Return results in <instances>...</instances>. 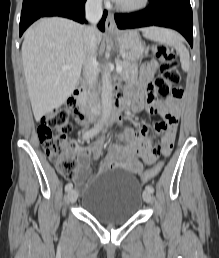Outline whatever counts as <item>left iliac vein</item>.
<instances>
[{
    "label": "left iliac vein",
    "instance_id": "obj_1",
    "mask_svg": "<svg viewBox=\"0 0 219 258\" xmlns=\"http://www.w3.org/2000/svg\"><path fill=\"white\" fill-rule=\"evenodd\" d=\"M143 199L146 203H150L152 201V194L148 190L143 192Z\"/></svg>",
    "mask_w": 219,
    "mask_h": 258
}]
</instances>
